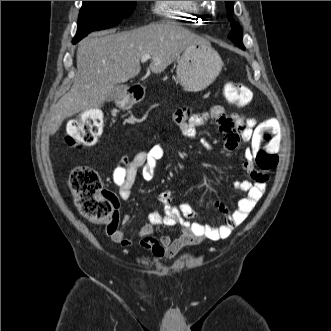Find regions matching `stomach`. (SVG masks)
Returning a JSON list of instances; mask_svg holds the SVG:
<instances>
[{
  "instance_id": "stomach-1",
  "label": "stomach",
  "mask_w": 331,
  "mask_h": 331,
  "mask_svg": "<svg viewBox=\"0 0 331 331\" xmlns=\"http://www.w3.org/2000/svg\"><path fill=\"white\" fill-rule=\"evenodd\" d=\"M223 62L209 42L189 45L179 58L176 73L180 85L189 91H201L209 86L219 75ZM131 102L124 99L119 103L123 109Z\"/></svg>"
}]
</instances>
